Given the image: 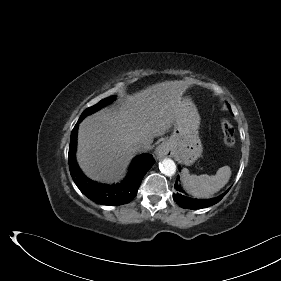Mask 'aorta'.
I'll use <instances>...</instances> for the list:
<instances>
[{
    "label": "aorta",
    "instance_id": "aorta-1",
    "mask_svg": "<svg viewBox=\"0 0 281 281\" xmlns=\"http://www.w3.org/2000/svg\"><path fill=\"white\" fill-rule=\"evenodd\" d=\"M159 169L166 176H172L176 172V164L172 159L165 158L159 164Z\"/></svg>",
    "mask_w": 281,
    "mask_h": 281
}]
</instances>
